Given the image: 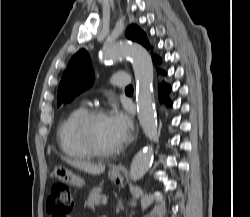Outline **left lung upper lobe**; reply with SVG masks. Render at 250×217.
Instances as JSON below:
<instances>
[{"label": "left lung upper lobe", "mask_w": 250, "mask_h": 217, "mask_svg": "<svg viewBox=\"0 0 250 217\" xmlns=\"http://www.w3.org/2000/svg\"><path fill=\"white\" fill-rule=\"evenodd\" d=\"M128 39L149 48L146 34L137 26L131 25L126 30ZM93 83L91 62L85 50L77 52L70 60L59 85L57 94L58 106L69 103L75 96L90 87Z\"/></svg>", "instance_id": "1"}]
</instances>
